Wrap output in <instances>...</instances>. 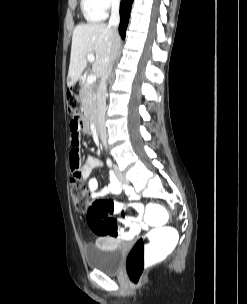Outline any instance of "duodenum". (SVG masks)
Returning a JSON list of instances; mask_svg holds the SVG:
<instances>
[{
  "label": "duodenum",
  "mask_w": 247,
  "mask_h": 304,
  "mask_svg": "<svg viewBox=\"0 0 247 304\" xmlns=\"http://www.w3.org/2000/svg\"><path fill=\"white\" fill-rule=\"evenodd\" d=\"M80 83H81V80H78V81H77L78 87H80V89H82V90H83V89H86V86H83V85L81 86ZM97 118H98V117H97L96 115L93 116V119H91V124H95V125L97 126V129H100V126H99L100 124H99L98 122L96 123V119H97Z\"/></svg>",
  "instance_id": "obj_1"
}]
</instances>
